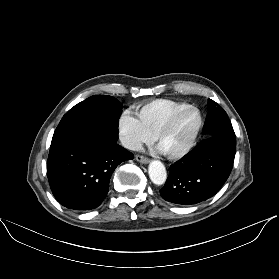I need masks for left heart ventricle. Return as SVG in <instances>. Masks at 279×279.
<instances>
[{
	"mask_svg": "<svg viewBox=\"0 0 279 279\" xmlns=\"http://www.w3.org/2000/svg\"><path fill=\"white\" fill-rule=\"evenodd\" d=\"M198 114L194 110H187L181 114L169 132L161 139L159 147L165 153L181 150L189 141L198 124Z\"/></svg>",
	"mask_w": 279,
	"mask_h": 279,
	"instance_id": "left-heart-ventricle-1",
	"label": "left heart ventricle"
}]
</instances>
